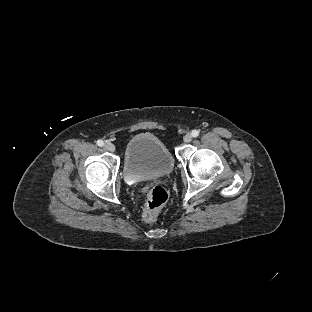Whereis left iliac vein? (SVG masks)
<instances>
[{
	"mask_svg": "<svg viewBox=\"0 0 312 312\" xmlns=\"http://www.w3.org/2000/svg\"><path fill=\"white\" fill-rule=\"evenodd\" d=\"M184 142L188 143L191 142L192 140V135L190 133H187L184 137H183Z\"/></svg>",
	"mask_w": 312,
	"mask_h": 312,
	"instance_id": "1",
	"label": "left iliac vein"
}]
</instances>
